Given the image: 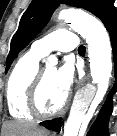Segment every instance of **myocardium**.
Wrapping results in <instances>:
<instances>
[{
	"label": "myocardium",
	"mask_w": 117,
	"mask_h": 136,
	"mask_svg": "<svg viewBox=\"0 0 117 136\" xmlns=\"http://www.w3.org/2000/svg\"><path fill=\"white\" fill-rule=\"evenodd\" d=\"M43 81H44V70H39L29 90V96H28L29 110L33 115L40 118H50L57 116L66 110L69 104V96L68 94L65 96L63 103L57 109L53 111L43 110L39 100Z\"/></svg>",
	"instance_id": "1"
}]
</instances>
